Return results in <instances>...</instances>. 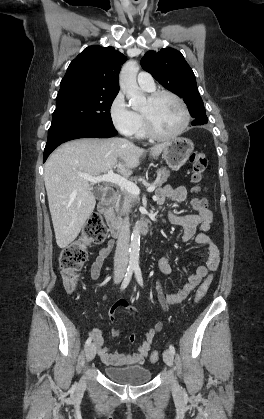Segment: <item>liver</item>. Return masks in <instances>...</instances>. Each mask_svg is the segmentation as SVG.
Instances as JSON below:
<instances>
[{
  "mask_svg": "<svg viewBox=\"0 0 264 419\" xmlns=\"http://www.w3.org/2000/svg\"><path fill=\"white\" fill-rule=\"evenodd\" d=\"M165 147L153 146L150 155L159 156ZM145 152L124 138H85L67 142L50 155L44 182L58 247L66 248L77 238L95 208L90 181L81 175L97 177L117 169L129 176Z\"/></svg>",
  "mask_w": 264,
  "mask_h": 419,
  "instance_id": "6515ba94",
  "label": "liver"
}]
</instances>
